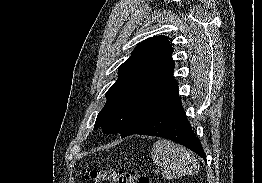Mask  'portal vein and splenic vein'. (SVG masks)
<instances>
[{"label":"portal vein and splenic vein","mask_w":262,"mask_h":183,"mask_svg":"<svg viewBox=\"0 0 262 183\" xmlns=\"http://www.w3.org/2000/svg\"><path fill=\"white\" fill-rule=\"evenodd\" d=\"M159 172H160L159 169L153 171L154 174H158Z\"/></svg>","instance_id":"obj_1"}]
</instances>
